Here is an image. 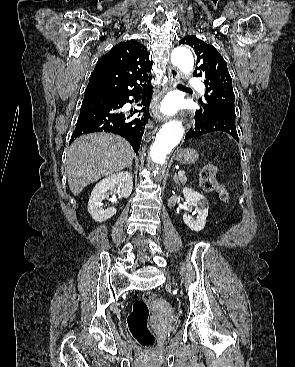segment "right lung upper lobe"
Segmentation results:
<instances>
[{
	"instance_id": "obj_1",
	"label": "right lung upper lobe",
	"mask_w": 295,
	"mask_h": 367,
	"mask_svg": "<svg viewBox=\"0 0 295 367\" xmlns=\"http://www.w3.org/2000/svg\"><path fill=\"white\" fill-rule=\"evenodd\" d=\"M151 67L145 46L135 40L121 42L98 61L87 89H99L113 95L148 89Z\"/></svg>"
}]
</instances>
